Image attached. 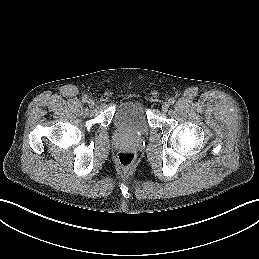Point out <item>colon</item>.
Masks as SVG:
<instances>
[{
  "instance_id": "5ec220e1",
  "label": "colon",
  "mask_w": 259,
  "mask_h": 259,
  "mask_svg": "<svg viewBox=\"0 0 259 259\" xmlns=\"http://www.w3.org/2000/svg\"><path fill=\"white\" fill-rule=\"evenodd\" d=\"M117 162L123 170H129L136 163V155L130 151H123L117 154Z\"/></svg>"
}]
</instances>
